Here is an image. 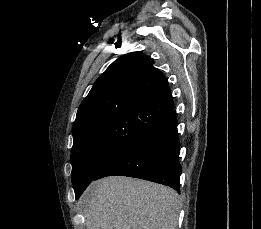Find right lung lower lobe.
Returning a JSON list of instances; mask_svg holds the SVG:
<instances>
[{
	"label": "right lung lower lobe",
	"instance_id": "1",
	"mask_svg": "<svg viewBox=\"0 0 261 229\" xmlns=\"http://www.w3.org/2000/svg\"><path fill=\"white\" fill-rule=\"evenodd\" d=\"M180 142L176 112L172 111L156 127L104 168L95 178L123 175L141 178L180 191Z\"/></svg>",
	"mask_w": 261,
	"mask_h": 229
}]
</instances>
